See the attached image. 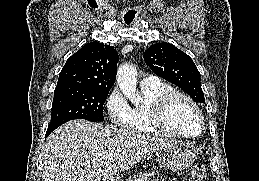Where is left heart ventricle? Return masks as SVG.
Wrapping results in <instances>:
<instances>
[{"mask_svg":"<svg viewBox=\"0 0 259 181\" xmlns=\"http://www.w3.org/2000/svg\"><path fill=\"white\" fill-rule=\"evenodd\" d=\"M168 121L177 131L185 134H194L199 130V118L190 106L182 99H177L168 112Z\"/></svg>","mask_w":259,"mask_h":181,"instance_id":"obj_1","label":"left heart ventricle"}]
</instances>
